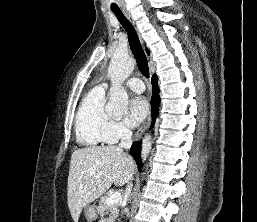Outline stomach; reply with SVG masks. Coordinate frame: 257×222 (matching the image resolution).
I'll list each match as a JSON object with an SVG mask.
<instances>
[{"instance_id":"obj_1","label":"stomach","mask_w":257,"mask_h":222,"mask_svg":"<svg viewBox=\"0 0 257 222\" xmlns=\"http://www.w3.org/2000/svg\"><path fill=\"white\" fill-rule=\"evenodd\" d=\"M84 215L88 221H94L97 218V210L93 205H87L84 207Z\"/></svg>"}]
</instances>
